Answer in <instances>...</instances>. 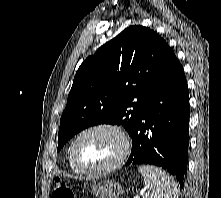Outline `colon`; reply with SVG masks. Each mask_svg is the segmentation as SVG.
I'll use <instances>...</instances> for the list:
<instances>
[{
  "label": "colon",
  "instance_id": "obj_1",
  "mask_svg": "<svg viewBox=\"0 0 221 198\" xmlns=\"http://www.w3.org/2000/svg\"><path fill=\"white\" fill-rule=\"evenodd\" d=\"M52 198H75V195L65 181L57 179L52 193Z\"/></svg>",
  "mask_w": 221,
  "mask_h": 198
}]
</instances>
